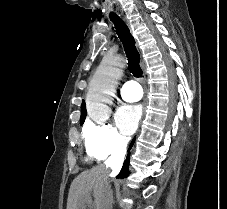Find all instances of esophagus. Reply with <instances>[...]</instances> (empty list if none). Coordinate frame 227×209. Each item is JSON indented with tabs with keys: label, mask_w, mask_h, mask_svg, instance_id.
<instances>
[{
	"label": "esophagus",
	"mask_w": 227,
	"mask_h": 209,
	"mask_svg": "<svg viewBox=\"0 0 227 209\" xmlns=\"http://www.w3.org/2000/svg\"><path fill=\"white\" fill-rule=\"evenodd\" d=\"M121 19L124 20V22H126V24L129 26V20H128V14H121Z\"/></svg>",
	"instance_id": "1"
}]
</instances>
